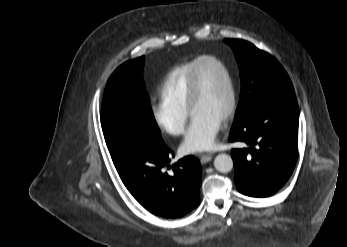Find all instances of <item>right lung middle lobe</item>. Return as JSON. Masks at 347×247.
<instances>
[{"mask_svg": "<svg viewBox=\"0 0 347 247\" xmlns=\"http://www.w3.org/2000/svg\"><path fill=\"white\" fill-rule=\"evenodd\" d=\"M143 64L144 56L123 63L105 88L101 126L109 151L124 136H138L154 147L163 142L142 80Z\"/></svg>", "mask_w": 347, "mask_h": 247, "instance_id": "obj_1", "label": "right lung middle lobe"}]
</instances>
